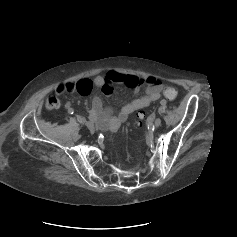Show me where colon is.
<instances>
[{
    "mask_svg": "<svg viewBox=\"0 0 237 237\" xmlns=\"http://www.w3.org/2000/svg\"><path fill=\"white\" fill-rule=\"evenodd\" d=\"M164 96L169 100H174L177 97V90L174 87L167 86L163 91ZM59 107V101L56 97L52 96L47 100V108L55 110ZM139 118H143V114H139Z\"/></svg>",
    "mask_w": 237,
    "mask_h": 237,
    "instance_id": "obj_1",
    "label": "colon"
}]
</instances>
